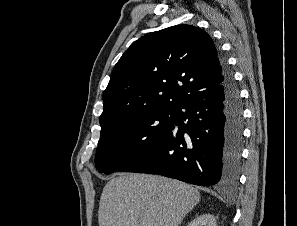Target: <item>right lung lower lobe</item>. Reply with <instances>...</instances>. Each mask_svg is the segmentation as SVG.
Segmentation results:
<instances>
[{"instance_id": "right-lung-lower-lobe-1", "label": "right lung lower lobe", "mask_w": 297, "mask_h": 226, "mask_svg": "<svg viewBox=\"0 0 297 226\" xmlns=\"http://www.w3.org/2000/svg\"><path fill=\"white\" fill-rule=\"evenodd\" d=\"M223 82L183 102L174 125L120 171L159 174L199 186H235L240 172L243 105L225 60Z\"/></svg>"}]
</instances>
